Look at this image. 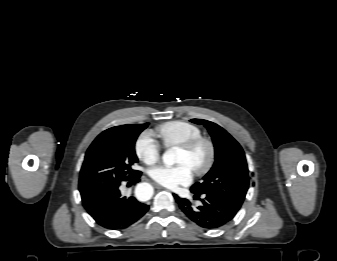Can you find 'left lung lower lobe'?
Wrapping results in <instances>:
<instances>
[{"label": "left lung lower lobe", "instance_id": "obj_1", "mask_svg": "<svg viewBox=\"0 0 337 261\" xmlns=\"http://www.w3.org/2000/svg\"><path fill=\"white\" fill-rule=\"evenodd\" d=\"M194 193V192H193ZM195 197H199L200 194L195 193ZM202 205L199 207H193L191 202L187 199H181L176 194L174 197L182 212L194 223L205 229L220 228L229 223L237 211L233 210L224 201L210 196L203 195Z\"/></svg>", "mask_w": 337, "mask_h": 261}]
</instances>
